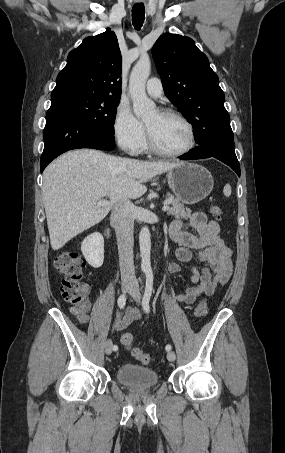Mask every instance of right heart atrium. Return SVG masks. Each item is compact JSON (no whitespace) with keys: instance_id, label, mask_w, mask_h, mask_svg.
Segmentation results:
<instances>
[{"instance_id":"obj_1","label":"right heart atrium","mask_w":285,"mask_h":453,"mask_svg":"<svg viewBox=\"0 0 285 453\" xmlns=\"http://www.w3.org/2000/svg\"><path fill=\"white\" fill-rule=\"evenodd\" d=\"M113 134L119 146L136 154L145 140L144 125L132 114L129 107L120 105L113 120Z\"/></svg>"}]
</instances>
